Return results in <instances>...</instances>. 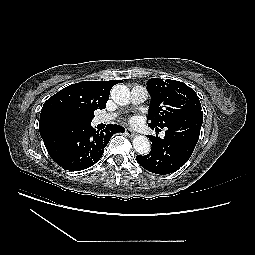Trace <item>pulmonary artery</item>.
Wrapping results in <instances>:
<instances>
[{"mask_svg": "<svg viewBox=\"0 0 255 255\" xmlns=\"http://www.w3.org/2000/svg\"><path fill=\"white\" fill-rule=\"evenodd\" d=\"M148 98V92L145 87L137 85L131 90V103L134 105L144 102ZM119 112L103 113L96 117L97 123H109L115 120Z\"/></svg>", "mask_w": 255, "mask_h": 255, "instance_id": "e3ab8cb5", "label": "pulmonary artery"}]
</instances>
